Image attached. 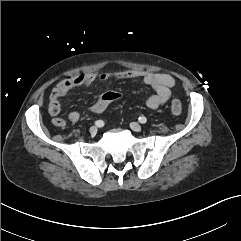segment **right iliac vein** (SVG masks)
<instances>
[{"label":"right iliac vein","mask_w":241,"mask_h":241,"mask_svg":"<svg viewBox=\"0 0 241 241\" xmlns=\"http://www.w3.org/2000/svg\"><path fill=\"white\" fill-rule=\"evenodd\" d=\"M89 131L92 136H95L97 133V127L92 126Z\"/></svg>","instance_id":"63e3f726"}]
</instances>
